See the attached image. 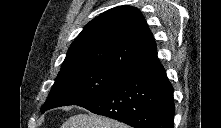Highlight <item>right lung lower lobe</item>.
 I'll list each match as a JSON object with an SVG mask.
<instances>
[{"label": "right lung lower lobe", "mask_w": 221, "mask_h": 128, "mask_svg": "<svg viewBox=\"0 0 221 128\" xmlns=\"http://www.w3.org/2000/svg\"><path fill=\"white\" fill-rule=\"evenodd\" d=\"M76 105L134 128H173V87L157 58Z\"/></svg>", "instance_id": "right-lung-lower-lobe-1"}]
</instances>
